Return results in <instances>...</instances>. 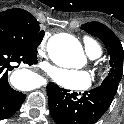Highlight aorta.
Returning a JSON list of instances; mask_svg holds the SVG:
<instances>
[{
	"mask_svg": "<svg viewBox=\"0 0 124 124\" xmlns=\"http://www.w3.org/2000/svg\"><path fill=\"white\" fill-rule=\"evenodd\" d=\"M49 57L62 67H73L84 58L81 43L70 34L59 33L47 43Z\"/></svg>",
	"mask_w": 124,
	"mask_h": 124,
	"instance_id": "aorta-1",
	"label": "aorta"
}]
</instances>
